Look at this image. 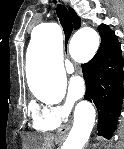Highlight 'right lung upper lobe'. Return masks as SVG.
Instances as JSON below:
<instances>
[{"instance_id":"cb5924a9","label":"right lung upper lobe","mask_w":124,"mask_h":149,"mask_svg":"<svg viewBox=\"0 0 124 149\" xmlns=\"http://www.w3.org/2000/svg\"><path fill=\"white\" fill-rule=\"evenodd\" d=\"M69 11H70V14H71V17H72L74 29H78L81 25V20L72 8H69Z\"/></svg>"}]
</instances>
